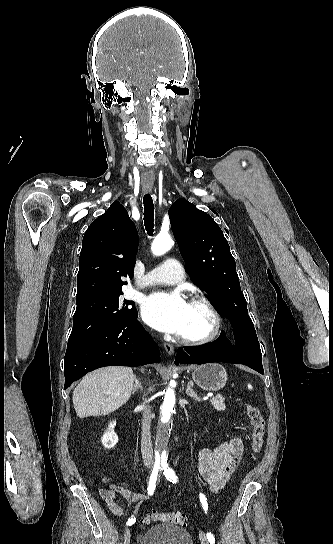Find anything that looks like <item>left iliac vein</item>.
Returning <instances> with one entry per match:
<instances>
[{"instance_id":"left-iliac-vein-1","label":"left iliac vein","mask_w":333,"mask_h":544,"mask_svg":"<svg viewBox=\"0 0 333 544\" xmlns=\"http://www.w3.org/2000/svg\"><path fill=\"white\" fill-rule=\"evenodd\" d=\"M199 538H200L201 544H209V541L203 532L199 533Z\"/></svg>"}]
</instances>
